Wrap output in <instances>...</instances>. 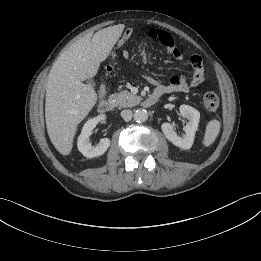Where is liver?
Masks as SVG:
<instances>
[{"label": "liver", "instance_id": "liver-1", "mask_svg": "<svg viewBox=\"0 0 261 261\" xmlns=\"http://www.w3.org/2000/svg\"><path fill=\"white\" fill-rule=\"evenodd\" d=\"M122 24L85 36L66 49L53 64L46 83L45 120L49 138L62 155H69L78 124L97 102L86 79L93 78L123 32Z\"/></svg>", "mask_w": 261, "mask_h": 261}]
</instances>
